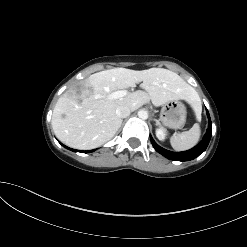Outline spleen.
Segmentation results:
<instances>
[{"instance_id":"spleen-1","label":"spleen","mask_w":247,"mask_h":247,"mask_svg":"<svg viewBox=\"0 0 247 247\" xmlns=\"http://www.w3.org/2000/svg\"><path fill=\"white\" fill-rule=\"evenodd\" d=\"M197 120L201 119V102L200 99L197 103L192 104ZM201 130L198 123H195L192 128L188 131L182 132L180 134H174L170 138L171 146L176 151H185L192 147H194L199 138H200Z\"/></svg>"}]
</instances>
